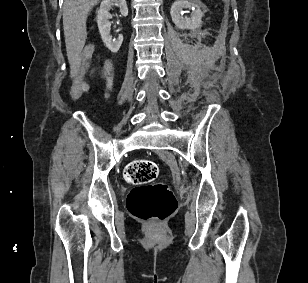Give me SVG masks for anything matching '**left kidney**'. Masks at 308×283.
I'll list each match as a JSON object with an SVG mask.
<instances>
[{
  "instance_id": "obj_1",
  "label": "left kidney",
  "mask_w": 308,
  "mask_h": 283,
  "mask_svg": "<svg viewBox=\"0 0 308 283\" xmlns=\"http://www.w3.org/2000/svg\"><path fill=\"white\" fill-rule=\"evenodd\" d=\"M191 9L190 17H183V9ZM206 7L200 2V0H177L175 1L170 10V15L173 23L180 29L194 30L202 25V17Z\"/></svg>"
}]
</instances>
